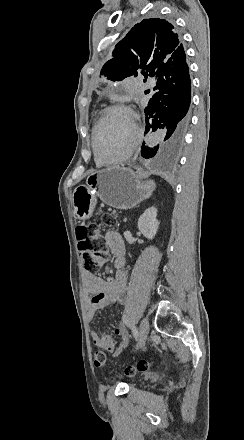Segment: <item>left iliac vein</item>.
<instances>
[{"label":"left iliac vein","mask_w":244,"mask_h":440,"mask_svg":"<svg viewBox=\"0 0 244 440\" xmlns=\"http://www.w3.org/2000/svg\"><path fill=\"white\" fill-rule=\"evenodd\" d=\"M148 332H149L148 320H147V318H144L141 321L140 326H139V335L137 338L136 349H139L140 347H142L144 345V343L148 337Z\"/></svg>","instance_id":"1"}]
</instances>
